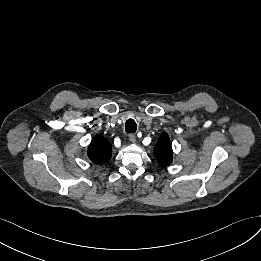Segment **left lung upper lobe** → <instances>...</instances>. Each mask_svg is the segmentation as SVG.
<instances>
[{
  "label": "left lung upper lobe",
  "mask_w": 261,
  "mask_h": 261,
  "mask_svg": "<svg viewBox=\"0 0 261 261\" xmlns=\"http://www.w3.org/2000/svg\"><path fill=\"white\" fill-rule=\"evenodd\" d=\"M172 147L167 134L161 135L154 148V155L158 163L162 166H167L172 162Z\"/></svg>",
  "instance_id": "5c2ea615"
}]
</instances>
